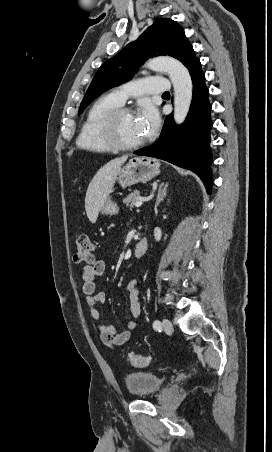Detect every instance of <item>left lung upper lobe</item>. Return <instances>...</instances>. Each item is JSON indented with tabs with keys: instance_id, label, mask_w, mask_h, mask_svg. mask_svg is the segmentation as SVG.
I'll list each match as a JSON object with an SVG mask.
<instances>
[{
	"instance_id": "5c2ea615",
	"label": "left lung upper lobe",
	"mask_w": 272,
	"mask_h": 452,
	"mask_svg": "<svg viewBox=\"0 0 272 452\" xmlns=\"http://www.w3.org/2000/svg\"><path fill=\"white\" fill-rule=\"evenodd\" d=\"M191 48L177 22L168 18L156 19L136 41L99 68L81 102L79 114L103 92L130 80L148 58L168 55L182 62Z\"/></svg>"
}]
</instances>
